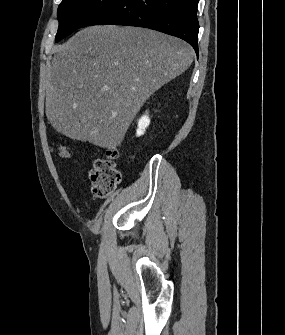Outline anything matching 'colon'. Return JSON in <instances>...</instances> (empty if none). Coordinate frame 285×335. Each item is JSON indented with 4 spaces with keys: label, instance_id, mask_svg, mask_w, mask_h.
<instances>
[{
    "label": "colon",
    "instance_id": "5ec220e1",
    "mask_svg": "<svg viewBox=\"0 0 285 335\" xmlns=\"http://www.w3.org/2000/svg\"><path fill=\"white\" fill-rule=\"evenodd\" d=\"M59 153L64 158H70V153L63 147ZM117 151L108 150L102 158L97 159L90 172L92 191L96 197L105 198L110 195L121 182V171L116 164Z\"/></svg>",
    "mask_w": 285,
    "mask_h": 335
}]
</instances>
